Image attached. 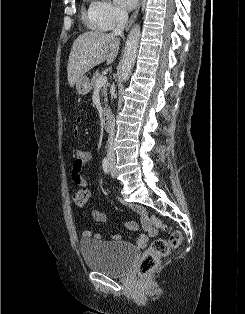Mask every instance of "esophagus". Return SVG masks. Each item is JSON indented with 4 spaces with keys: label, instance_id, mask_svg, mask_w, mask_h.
Instances as JSON below:
<instances>
[{
    "label": "esophagus",
    "instance_id": "1",
    "mask_svg": "<svg viewBox=\"0 0 245 314\" xmlns=\"http://www.w3.org/2000/svg\"><path fill=\"white\" fill-rule=\"evenodd\" d=\"M141 3H142V0H139L135 11L132 13L131 17L129 18V20H128L126 26H125V30L126 31L129 30V28L132 26V24L134 23L135 19L137 18V15H138L140 7H141Z\"/></svg>",
    "mask_w": 245,
    "mask_h": 314
}]
</instances>
